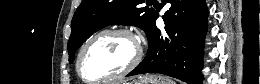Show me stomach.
<instances>
[{
    "mask_svg": "<svg viewBox=\"0 0 260 84\" xmlns=\"http://www.w3.org/2000/svg\"><path fill=\"white\" fill-rule=\"evenodd\" d=\"M124 84H173V83L168 77H165L163 75L148 74L142 76L138 80H134L132 82H128Z\"/></svg>",
    "mask_w": 260,
    "mask_h": 84,
    "instance_id": "0dacf381",
    "label": "stomach"
}]
</instances>
